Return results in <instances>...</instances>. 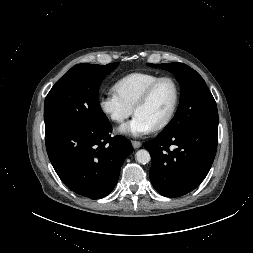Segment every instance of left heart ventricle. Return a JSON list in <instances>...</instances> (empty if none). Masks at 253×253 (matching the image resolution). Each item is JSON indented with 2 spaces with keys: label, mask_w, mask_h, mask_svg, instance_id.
I'll list each match as a JSON object with an SVG mask.
<instances>
[{
  "label": "left heart ventricle",
  "mask_w": 253,
  "mask_h": 253,
  "mask_svg": "<svg viewBox=\"0 0 253 253\" xmlns=\"http://www.w3.org/2000/svg\"><path fill=\"white\" fill-rule=\"evenodd\" d=\"M174 97L173 84L168 80L163 81L155 88L148 102L137 110L136 115L141 116L154 128L167 117Z\"/></svg>",
  "instance_id": "1"
}]
</instances>
